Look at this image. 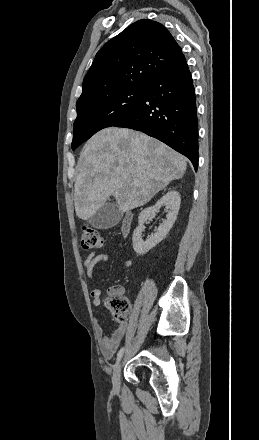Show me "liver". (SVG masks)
<instances>
[{"mask_svg": "<svg viewBox=\"0 0 259 440\" xmlns=\"http://www.w3.org/2000/svg\"><path fill=\"white\" fill-rule=\"evenodd\" d=\"M186 159L144 133L105 128L85 144L74 186L76 215L89 219L111 196L121 212L148 203L171 181L183 177Z\"/></svg>", "mask_w": 259, "mask_h": 440, "instance_id": "6515ba94", "label": "liver"}]
</instances>
